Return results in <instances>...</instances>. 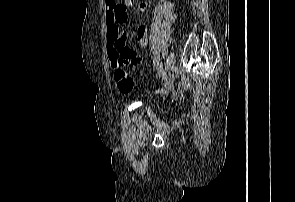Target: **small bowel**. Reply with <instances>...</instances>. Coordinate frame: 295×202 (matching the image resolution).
Here are the masks:
<instances>
[{
    "mask_svg": "<svg viewBox=\"0 0 295 202\" xmlns=\"http://www.w3.org/2000/svg\"><path fill=\"white\" fill-rule=\"evenodd\" d=\"M131 3L132 0H126L125 5L117 4L116 0H105L108 57L112 67L117 61L128 62L129 67L137 66L143 61V56L138 53L136 47L126 44V36L121 29L128 18L126 7ZM139 10L146 12L148 3L141 2ZM135 44L137 47H145L148 44L147 25L141 24L138 26L135 34Z\"/></svg>",
    "mask_w": 295,
    "mask_h": 202,
    "instance_id": "small-bowel-1",
    "label": "small bowel"
}]
</instances>
